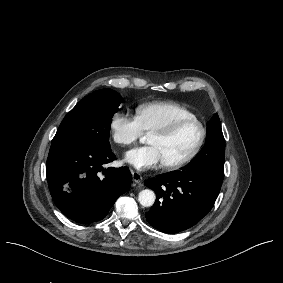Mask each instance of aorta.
Instances as JSON below:
<instances>
[{
    "instance_id": "obj_1",
    "label": "aorta",
    "mask_w": 283,
    "mask_h": 283,
    "mask_svg": "<svg viewBox=\"0 0 283 283\" xmlns=\"http://www.w3.org/2000/svg\"><path fill=\"white\" fill-rule=\"evenodd\" d=\"M155 199V193L151 189L142 190L138 195V201L144 207L153 206Z\"/></svg>"
}]
</instances>
